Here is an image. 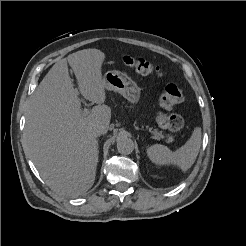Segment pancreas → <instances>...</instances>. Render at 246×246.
I'll use <instances>...</instances> for the list:
<instances>
[{"mask_svg": "<svg viewBox=\"0 0 246 246\" xmlns=\"http://www.w3.org/2000/svg\"><path fill=\"white\" fill-rule=\"evenodd\" d=\"M153 131H154L155 133L161 134V133L158 132L157 129H155V130H153ZM167 138H168V141H169V142L173 140V138H172L171 136H167Z\"/></svg>", "mask_w": 246, "mask_h": 246, "instance_id": "pancreas-1", "label": "pancreas"}]
</instances>
